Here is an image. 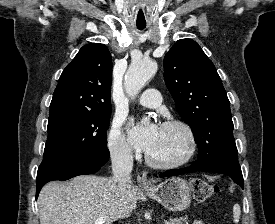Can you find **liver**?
Listing matches in <instances>:
<instances>
[{"mask_svg":"<svg viewBox=\"0 0 275 224\" xmlns=\"http://www.w3.org/2000/svg\"><path fill=\"white\" fill-rule=\"evenodd\" d=\"M124 196L122 200L113 178L81 175L67 183L52 181L38 197L40 224H95L101 217L104 224H112L137 207L132 183Z\"/></svg>","mask_w":275,"mask_h":224,"instance_id":"6515ba94","label":"liver"}]
</instances>
